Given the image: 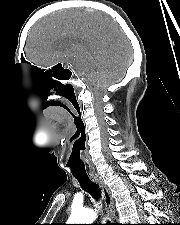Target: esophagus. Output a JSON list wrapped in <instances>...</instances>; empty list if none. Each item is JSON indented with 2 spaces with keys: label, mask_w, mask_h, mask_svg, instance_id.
<instances>
[{
  "label": "esophagus",
  "mask_w": 180,
  "mask_h": 225,
  "mask_svg": "<svg viewBox=\"0 0 180 225\" xmlns=\"http://www.w3.org/2000/svg\"><path fill=\"white\" fill-rule=\"evenodd\" d=\"M90 177L92 181H94L95 183L99 185L102 191V196H103L104 204L106 207L107 216L110 221H114L115 220V205H114V200L111 196V192L109 188L107 187V185L105 184V182L99 175L95 174V175H91Z\"/></svg>",
  "instance_id": "1"
}]
</instances>
